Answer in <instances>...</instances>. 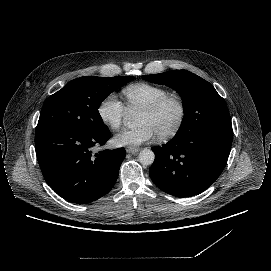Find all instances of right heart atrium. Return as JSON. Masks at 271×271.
I'll use <instances>...</instances> for the list:
<instances>
[{"label": "right heart atrium", "instance_id": "d8ad5b80", "mask_svg": "<svg viewBox=\"0 0 271 271\" xmlns=\"http://www.w3.org/2000/svg\"><path fill=\"white\" fill-rule=\"evenodd\" d=\"M125 113L126 109L115 93H109L97 106L100 121L112 131L121 128Z\"/></svg>", "mask_w": 271, "mask_h": 271}]
</instances>
